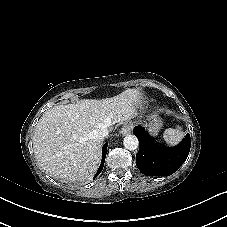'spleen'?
<instances>
[{"label":"spleen","instance_id":"obj_1","mask_svg":"<svg viewBox=\"0 0 227 227\" xmlns=\"http://www.w3.org/2000/svg\"><path fill=\"white\" fill-rule=\"evenodd\" d=\"M184 136L181 126L177 128H168L163 133V138L167 144L176 145L178 144Z\"/></svg>","mask_w":227,"mask_h":227}]
</instances>
